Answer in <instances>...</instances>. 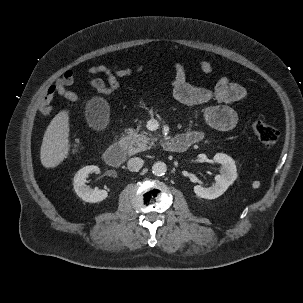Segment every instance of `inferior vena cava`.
I'll return each mask as SVG.
<instances>
[{"mask_svg": "<svg viewBox=\"0 0 303 303\" xmlns=\"http://www.w3.org/2000/svg\"><path fill=\"white\" fill-rule=\"evenodd\" d=\"M144 161L139 157H134L129 159L127 163V167L132 172H137L140 170V168L143 166Z\"/></svg>", "mask_w": 303, "mask_h": 303, "instance_id": "inferior-vena-cava-1", "label": "inferior vena cava"}]
</instances>
